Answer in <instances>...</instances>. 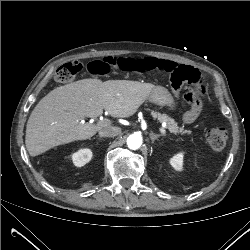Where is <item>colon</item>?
I'll list each match as a JSON object with an SVG mask.
<instances>
[{
  "label": "colon",
  "mask_w": 250,
  "mask_h": 250,
  "mask_svg": "<svg viewBox=\"0 0 250 250\" xmlns=\"http://www.w3.org/2000/svg\"><path fill=\"white\" fill-rule=\"evenodd\" d=\"M117 68L122 71H139V60L133 58H106L93 61L88 65V71L94 75H104ZM82 69L78 61H71L60 66L55 72L58 83H69ZM152 64H147L143 70H153ZM171 85L173 87L185 86L184 99L193 106L201 104L206 96V87L200 72L191 67L179 65L171 72ZM206 140L214 151H222L228 142V133L224 127H212L206 131Z\"/></svg>",
  "instance_id": "1"
}]
</instances>
